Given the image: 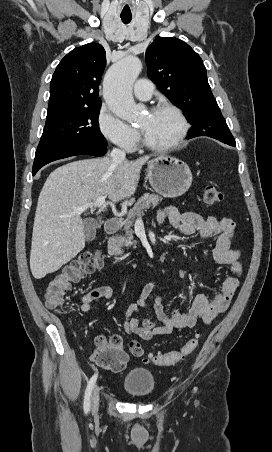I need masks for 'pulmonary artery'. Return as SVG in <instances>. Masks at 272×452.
<instances>
[{"instance_id":"obj_1","label":"pulmonary artery","mask_w":272,"mask_h":452,"mask_svg":"<svg viewBox=\"0 0 272 452\" xmlns=\"http://www.w3.org/2000/svg\"><path fill=\"white\" fill-rule=\"evenodd\" d=\"M154 86L146 79H139L134 86V95L137 99L146 101L152 97Z\"/></svg>"}]
</instances>
